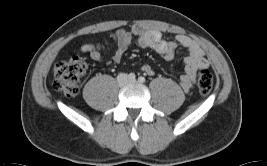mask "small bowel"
Returning a JSON list of instances; mask_svg holds the SVG:
<instances>
[{
    "label": "small bowel",
    "mask_w": 267,
    "mask_h": 166,
    "mask_svg": "<svg viewBox=\"0 0 267 166\" xmlns=\"http://www.w3.org/2000/svg\"><path fill=\"white\" fill-rule=\"evenodd\" d=\"M110 41L116 45V50L113 55L114 62L121 61L123 55L133 42H136V44L142 48L154 51L167 61L173 59L177 45L186 48L188 54L184 58V74L180 77V85L185 91L192 89L197 70L207 66V60L204 56L203 50L188 36L178 34L175 36L174 40H166L163 38L160 31L145 28L140 25L132 26L129 31L120 29L113 33L108 40L102 43L83 44L80 47V50L82 53L88 55L91 60L100 62L102 60V50ZM142 70L148 75L154 74L153 68L148 64L143 65Z\"/></svg>",
    "instance_id": "1"
}]
</instances>
